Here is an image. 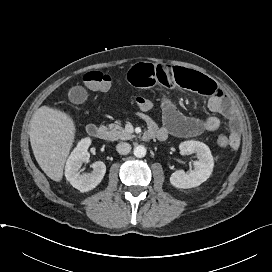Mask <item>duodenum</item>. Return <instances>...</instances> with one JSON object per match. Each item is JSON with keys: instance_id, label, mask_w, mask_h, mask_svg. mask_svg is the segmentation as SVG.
<instances>
[{"instance_id": "obj_1", "label": "duodenum", "mask_w": 272, "mask_h": 272, "mask_svg": "<svg viewBox=\"0 0 272 272\" xmlns=\"http://www.w3.org/2000/svg\"><path fill=\"white\" fill-rule=\"evenodd\" d=\"M86 133L90 137L95 138V139L104 140L107 138L106 130L103 127L96 125V124H89L86 127ZM155 137H156L155 133L152 131H149V130L143 135V139L146 141L151 140Z\"/></svg>"}]
</instances>
